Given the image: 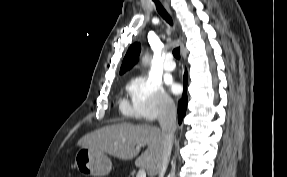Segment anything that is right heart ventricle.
I'll use <instances>...</instances> for the list:
<instances>
[{"label": "right heart ventricle", "mask_w": 287, "mask_h": 177, "mask_svg": "<svg viewBox=\"0 0 287 177\" xmlns=\"http://www.w3.org/2000/svg\"><path fill=\"white\" fill-rule=\"evenodd\" d=\"M121 108H122V110H123L125 113H130V114L133 113L132 107H130L129 104H128L127 102H125V101H123V102L121 103Z\"/></svg>", "instance_id": "right-heart-ventricle-1"}]
</instances>
